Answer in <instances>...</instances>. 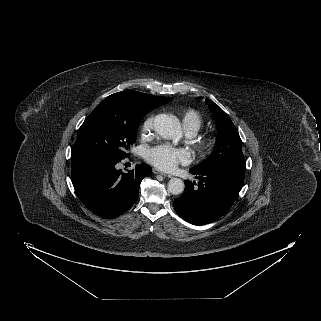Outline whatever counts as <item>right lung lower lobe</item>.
<instances>
[{
  "instance_id": "1",
  "label": "right lung lower lobe",
  "mask_w": 321,
  "mask_h": 321,
  "mask_svg": "<svg viewBox=\"0 0 321 321\" xmlns=\"http://www.w3.org/2000/svg\"><path fill=\"white\" fill-rule=\"evenodd\" d=\"M119 161L94 157L71 160V180L82 203L102 218H115L129 210L138 199L142 179L152 173L149 165H136L122 173Z\"/></svg>"
}]
</instances>
